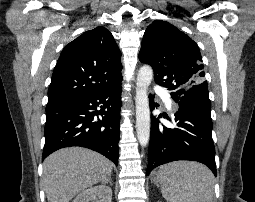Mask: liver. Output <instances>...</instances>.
Wrapping results in <instances>:
<instances>
[{
  "instance_id": "liver-1",
  "label": "liver",
  "mask_w": 255,
  "mask_h": 202,
  "mask_svg": "<svg viewBox=\"0 0 255 202\" xmlns=\"http://www.w3.org/2000/svg\"><path fill=\"white\" fill-rule=\"evenodd\" d=\"M113 164L104 156L81 147L60 149L43 163V183L48 202H69L88 187L104 181Z\"/></svg>"
}]
</instances>
